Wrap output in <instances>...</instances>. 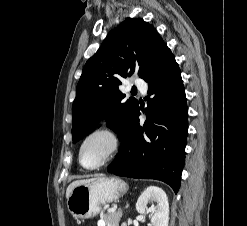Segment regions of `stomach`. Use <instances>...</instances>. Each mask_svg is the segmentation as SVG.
<instances>
[{
    "mask_svg": "<svg viewBox=\"0 0 247 226\" xmlns=\"http://www.w3.org/2000/svg\"><path fill=\"white\" fill-rule=\"evenodd\" d=\"M126 191V183L117 177H96L72 189L67 207L76 219L93 218L104 204L118 200Z\"/></svg>",
    "mask_w": 247,
    "mask_h": 226,
    "instance_id": "1",
    "label": "stomach"
}]
</instances>
